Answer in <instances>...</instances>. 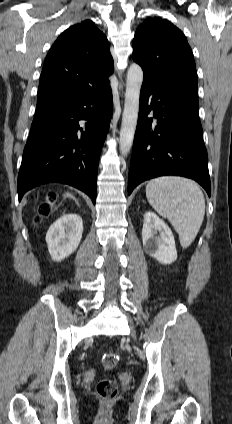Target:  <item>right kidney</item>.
Segmentation results:
<instances>
[{"mask_svg": "<svg viewBox=\"0 0 232 424\" xmlns=\"http://www.w3.org/2000/svg\"><path fill=\"white\" fill-rule=\"evenodd\" d=\"M83 233V221L77 214L56 220L46 234L48 251L54 261H61L76 251Z\"/></svg>", "mask_w": 232, "mask_h": 424, "instance_id": "obj_1", "label": "right kidney"}]
</instances>
